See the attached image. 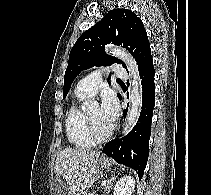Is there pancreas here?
Returning <instances> with one entry per match:
<instances>
[{"label":"pancreas","instance_id":"cf45deb5","mask_svg":"<svg viewBox=\"0 0 211 195\" xmlns=\"http://www.w3.org/2000/svg\"><path fill=\"white\" fill-rule=\"evenodd\" d=\"M85 195H94V194L88 193V194H85Z\"/></svg>","mask_w":211,"mask_h":195}]
</instances>
